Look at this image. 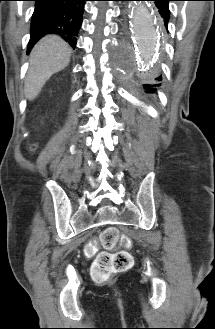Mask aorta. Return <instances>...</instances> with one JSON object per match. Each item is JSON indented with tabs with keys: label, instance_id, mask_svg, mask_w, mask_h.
I'll return each instance as SVG.
<instances>
[{
	"label": "aorta",
	"instance_id": "1",
	"mask_svg": "<svg viewBox=\"0 0 215 329\" xmlns=\"http://www.w3.org/2000/svg\"><path fill=\"white\" fill-rule=\"evenodd\" d=\"M130 28L135 43L146 60H151L159 46V18L151 5L130 2Z\"/></svg>",
	"mask_w": 215,
	"mask_h": 329
}]
</instances>
